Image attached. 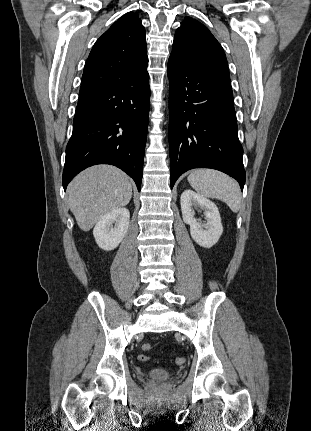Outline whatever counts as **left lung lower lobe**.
<instances>
[{
    "mask_svg": "<svg viewBox=\"0 0 311 431\" xmlns=\"http://www.w3.org/2000/svg\"><path fill=\"white\" fill-rule=\"evenodd\" d=\"M167 73L171 188L187 170L212 168L236 179L243 190L246 174L230 77L172 56Z\"/></svg>",
    "mask_w": 311,
    "mask_h": 431,
    "instance_id": "left-lung-lower-lobe-1",
    "label": "left lung lower lobe"
}]
</instances>
